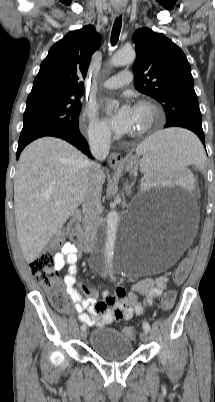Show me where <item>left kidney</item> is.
I'll list each match as a JSON object with an SVG mask.
<instances>
[{
    "instance_id": "1",
    "label": "left kidney",
    "mask_w": 215,
    "mask_h": 402,
    "mask_svg": "<svg viewBox=\"0 0 215 402\" xmlns=\"http://www.w3.org/2000/svg\"><path fill=\"white\" fill-rule=\"evenodd\" d=\"M144 175L145 187L159 186L160 181L169 180L171 184H179L182 181L183 186H177V191H195L192 169H146Z\"/></svg>"
}]
</instances>
